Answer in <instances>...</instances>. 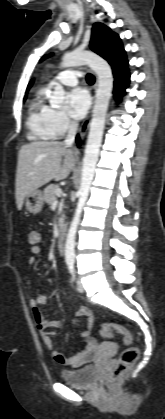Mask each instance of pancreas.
<instances>
[{"instance_id": "pancreas-1", "label": "pancreas", "mask_w": 165, "mask_h": 419, "mask_svg": "<svg viewBox=\"0 0 165 419\" xmlns=\"http://www.w3.org/2000/svg\"><path fill=\"white\" fill-rule=\"evenodd\" d=\"M57 189H60L57 184H50L44 189V201L47 204L51 205L52 203L56 201L57 195L55 192ZM64 219H65V216L62 215V217L60 218V224H59L60 228H62L64 225Z\"/></svg>"}]
</instances>
